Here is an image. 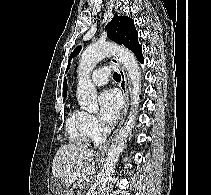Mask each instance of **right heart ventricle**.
Wrapping results in <instances>:
<instances>
[{"label": "right heart ventricle", "instance_id": "1", "mask_svg": "<svg viewBox=\"0 0 211 195\" xmlns=\"http://www.w3.org/2000/svg\"><path fill=\"white\" fill-rule=\"evenodd\" d=\"M66 129L71 140L79 145H85L89 141V134L85 125V113L72 109L66 121Z\"/></svg>", "mask_w": 211, "mask_h": 195}]
</instances>
